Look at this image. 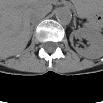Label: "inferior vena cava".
<instances>
[{
  "label": "inferior vena cava",
  "mask_w": 103,
  "mask_h": 103,
  "mask_svg": "<svg viewBox=\"0 0 103 103\" xmlns=\"http://www.w3.org/2000/svg\"><path fill=\"white\" fill-rule=\"evenodd\" d=\"M46 14L39 10V11H34L30 14V21L31 22H34V21H37V20H41Z\"/></svg>",
  "instance_id": "inferior-vena-cava-1"
}]
</instances>
